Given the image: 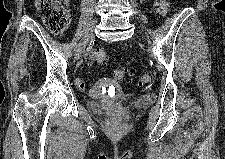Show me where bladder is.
<instances>
[{"instance_id":"31cf9c89","label":"bladder","mask_w":225,"mask_h":159,"mask_svg":"<svg viewBox=\"0 0 225 159\" xmlns=\"http://www.w3.org/2000/svg\"><path fill=\"white\" fill-rule=\"evenodd\" d=\"M130 103L136 107H144L152 102V99L149 97H137L129 100ZM88 108L94 113H102L103 112V103L100 100H91L88 103Z\"/></svg>"}]
</instances>
